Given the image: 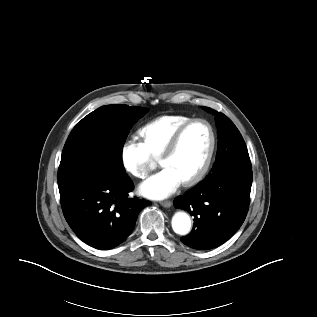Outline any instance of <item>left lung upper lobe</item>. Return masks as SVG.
I'll list each match as a JSON object with an SVG mask.
<instances>
[{"instance_id":"1","label":"left lung upper lobe","mask_w":317,"mask_h":317,"mask_svg":"<svg viewBox=\"0 0 317 317\" xmlns=\"http://www.w3.org/2000/svg\"><path fill=\"white\" fill-rule=\"evenodd\" d=\"M213 112L218 129V150L215 163L205 179H215L233 169L251 170V162L246 144L234 123L224 114L209 107H202Z\"/></svg>"}]
</instances>
